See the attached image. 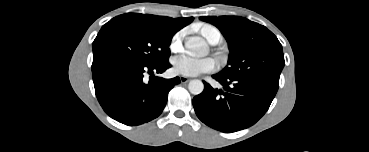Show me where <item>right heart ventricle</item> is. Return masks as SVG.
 Wrapping results in <instances>:
<instances>
[{"label": "right heart ventricle", "mask_w": 369, "mask_h": 152, "mask_svg": "<svg viewBox=\"0 0 369 152\" xmlns=\"http://www.w3.org/2000/svg\"><path fill=\"white\" fill-rule=\"evenodd\" d=\"M212 29H215V27L211 26V25H203L201 28H200V34L207 40L209 41L210 39V31Z\"/></svg>", "instance_id": "obj_1"}]
</instances>
